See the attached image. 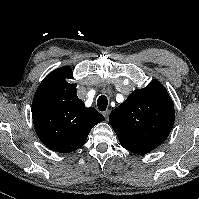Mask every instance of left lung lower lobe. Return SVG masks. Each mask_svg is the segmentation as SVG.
<instances>
[{"instance_id": "1", "label": "left lung lower lobe", "mask_w": 199, "mask_h": 199, "mask_svg": "<svg viewBox=\"0 0 199 199\" xmlns=\"http://www.w3.org/2000/svg\"><path fill=\"white\" fill-rule=\"evenodd\" d=\"M121 145L128 151L135 154H146L154 150L159 145L150 141L134 138L125 133L116 132Z\"/></svg>"}]
</instances>
